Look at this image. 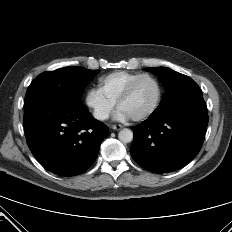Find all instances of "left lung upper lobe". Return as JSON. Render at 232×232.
I'll return each mask as SVG.
<instances>
[{
	"instance_id": "left-lung-upper-lobe-1",
	"label": "left lung upper lobe",
	"mask_w": 232,
	"mask_h": 232,
	"mask_svg": "<svg viewBox=\"0 0 232 232\" xmlns=\"http://www.w3.org/2000/svg\"><path fill=\"white\" fill-rule=\"evenodd\" d=\"M147 71L157 75L165 89V94L160 105L154 112H159L167 108L182 98L199 92L197 83L190 77L178 73L166 67L146 68Z\"/></svg>"
}]
</instances>
